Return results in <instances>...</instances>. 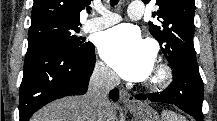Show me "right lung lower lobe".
<instances>
[{"instance_id":"right-lung-lower-lobe-1","label":"right lung lower lobe","mask_w":217,"mask_h":121,"mask_svg":"<svg viewBox=\"0 0 217 121\" xmlns=\"http://www.w3.org/2000/svg\"><path fill=\"white\" fill-rule=\"evenodd\" d=\"M95 61V48L90 42L79 52L54 47L27 51L19 91L20 121H28L53 100L84 94ZM110 97L116 101L118 90H112Z\"/></svg>"}]
</instances>
